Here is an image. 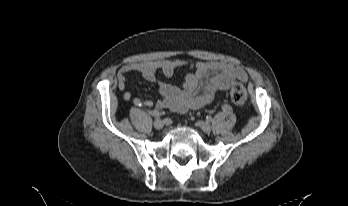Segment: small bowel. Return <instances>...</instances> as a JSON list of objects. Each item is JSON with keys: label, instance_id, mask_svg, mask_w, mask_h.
I'll list each match as a JSON object with an SVG mask.
<instances>
[{"label": "small bowel", "instance_id": "small-bowel-1", "mask_svg": "<svg viewBox=\"0 0 348 206\" xmlns=\"http://www.w3.org/2000/svg\"><path fill=\"white\" fill-rule=\"evenodd\" d=\"M177 67H188L184 85L178 87L161 81L157 74L171 77ZM135 72L148 81L156 82L161 98L155 104V111L163 109L184 113L188 110L201 109L215 101L220 93L227 91L235 81L247 82L246 71L235 64L223 62H186L183 60H157L128 63L122 66L117 73L118 88H127L126 75ZM125 100L132 99V93L126 91ZM137 108H149L153 105L150 99H133Z\"/></svg>", "mask_w": 348, "mask_h": 206}]
</instances>
